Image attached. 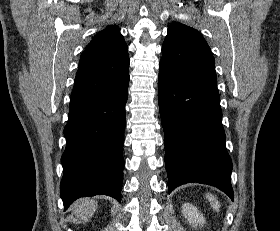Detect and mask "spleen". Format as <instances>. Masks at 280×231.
<instances>
[{
	"instance_id": "3e777b00",
	"label": "spleen",
	"mask_w": 280,
	"mask_h": 231,
	"mask_svg": "<svg viewBox=\"0 0 280 231\" xmlns=\"http://www.w3.org/2000/svg\"><path fill=\"white\" fill-rule=\"evenodd\" d=\"M206 199H208V201H210L213 209H216V211H220V203L217 199V197H215V195H212V193H206Z\"/></svg>"
}]
</instances>
